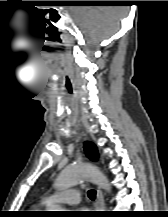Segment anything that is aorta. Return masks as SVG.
<instances>
[{
  "mask_svg": "<svg viewBox=\"0 0 168 217\" xmlns=\"http://www.w3.org/2000/svg\"><path fill=\"white\" fill-rule=\"evenodd\" d=\"M85 180L99 185L107 192L111 190L107 177L97 167L89 163L71 165L63 169L55 182V186L59 189H67ZM56 209L58 210L55 211H64L59 207Z\"/></svg>",
  "mask_w": 168,
  "mask_h": 217,
  "instance_id": "1",
  "label": "aorta"
}]
</instances>
